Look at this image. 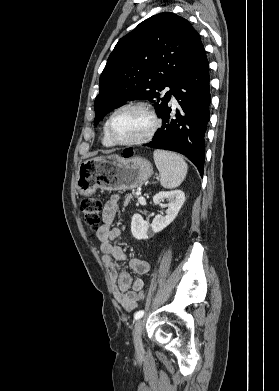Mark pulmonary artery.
Masks as SVG:
<instances>
[{
    "mask_svg": "<svg viewBox=\"0 0 279 391\" xmlns=\"http://www.w3.org/2000/svg\"><path fill=\"white\" fill-rule=\"evenodd\" d=\"M166 90H169V88H167ZM172 102H173V103H176V100H175L174 97H172Z\"/></svg>",
    "mask_w": 279,
    "mask_h": 391,
    "instance_id": "obj_1",
    "label": "pulmonary artery"
}]
</instances>
